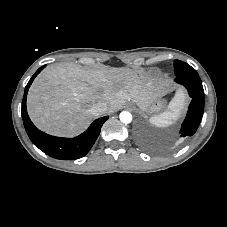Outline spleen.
Returning <instances> with one entry per match:
<instances>
[{
    "mask_svg": "<svg viewBox=\"0 0 227 227\" xmlns=\"http://www.w3.org/2000/svg\"><path fill=\"white\" fill-rule=\"evenodd\" d=\"M184 107V99L182 96H176L170 103L168 110L150 118V123L157 127H166L174 123L181 114Z\"/></svg>",
    "mask_w": 227,
    "mask_h": 227,
    "instance_id": "obj_1",
    "label": "spleen"
}]
</instances>
